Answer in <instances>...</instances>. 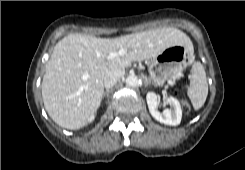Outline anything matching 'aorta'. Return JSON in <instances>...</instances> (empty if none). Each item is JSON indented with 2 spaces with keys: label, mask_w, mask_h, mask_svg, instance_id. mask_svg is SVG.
<instances>
[{
  "label": "aorta",
  "mask_w": 245,
  "mask_h": 170,
  "mask_svg": "<svg viewBox=\"0 0 245 170\" xmlns=\"http://www.w3.org/2000/svg\"><path fill=\"white\" fill-rule=\"evenodd\" d=\"M125 83L129 87H135L138 85V77L134 74L128 75L125 80Z\"/></svg>",
  "instance_id": "aorta-1"
}]
</instances>
